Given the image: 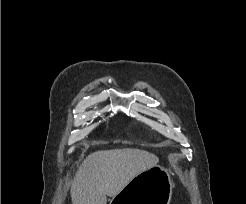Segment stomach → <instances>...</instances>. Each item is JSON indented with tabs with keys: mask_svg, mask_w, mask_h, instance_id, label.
<instances>
[{
	"mask_svg": "<svg viewBox=\"0 0 246 204\" xmlns=\"http://www.w3.org/2000/svg\"><path fill=\"white\" fill-rule=\"evenodd\" d=\"M172 189L169 172L156 165L131 179L110 204H170Z\"/></svg>",
	"mask_w": 246,
	"mask_h": 204,
	"instance_id": "stomach-1",
	"label": "stomach"
}]
</instances>
